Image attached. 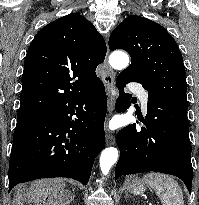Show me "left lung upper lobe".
<instances>
[{
	"label": "left lung upper lobe",
	"instance_id": "left-lung-upper-lobe-1",
	"mask_svg": "<svg viewBox=\"0 0 199 205\" xmlns=\"http://www.w3.org/2000/svg\"><path fill=\"white\" fill-rule=\"evenodd\" d=\"M109 48L130 54L131 65L119 75L131 71L147 92L188 107L182 54L164 27L144 17L129 16L111 33Z\"/></svg>",
	"mask_w": 199,
	"mask_h": 205
}]
</instances>
